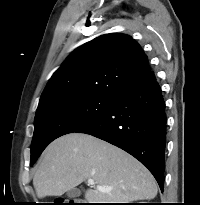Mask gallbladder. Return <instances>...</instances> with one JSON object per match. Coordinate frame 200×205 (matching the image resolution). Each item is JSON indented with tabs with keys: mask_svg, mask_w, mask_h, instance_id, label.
I'll use <instances>...</instances> for the list:
<instances>
[{
	"mask_svg": "<svg viewBox=\"0 0 200 205\" xmlns=\"http://www.w3.org/2000/svg\"><path fill=\"white\" fill-rule=\"evenodd\" d=\"M80 194H81V192L77 188H73L67 192V196L70 198H76V197L80 196Z\"/></svg>",
	"mask_w": 200,
	"mask_h": 205,
	"instance_id": "obj_1",
	"label": "gallbladder"
}]
</instances>
